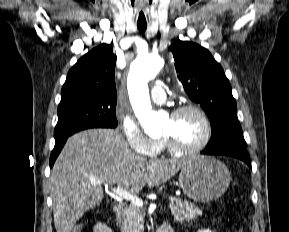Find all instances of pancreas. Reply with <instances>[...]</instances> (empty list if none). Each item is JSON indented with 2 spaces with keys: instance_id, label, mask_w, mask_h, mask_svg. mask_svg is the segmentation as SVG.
<instances>
[{
  "instance_id": "pancreas-1",
  "label": "pancreas",
  "mask_w": 289,
  "mask_h": 232,
  "mask_svg": "<svg viewBox=\"0 0 289 232\" xmlns=\"http://www.w3.org/2000/svg\"><path fill=\"white\" fill-rule=\"evenodd\" d=\"M175 221L189 222L196 219L202 211L188 202L177 201L170 205ZM143 211L133 204L126 207L120 218L121 232H144Z\"/></svg>"
}]
</instances>
